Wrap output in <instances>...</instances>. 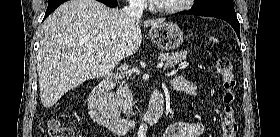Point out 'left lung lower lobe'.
<instances>
[{"mask_svg":"<svg viewBox=\"0 0 280 137\" xmlns=\"http://www.w3.org/2000/svg\"><path fill=\"white\" fill-rule=\"evenodd\" d=\"M184 14L216 17L225 20L233 27V29L237 33V36L240 38V24L238 22L236 13H229V12L216 11V10H208V11L191 10L188 12H184Z\"/></svg>","mask_w":280,"mask_h":137,"instance_id":"1","label":"left lung lower lobe"}]
</instances>
